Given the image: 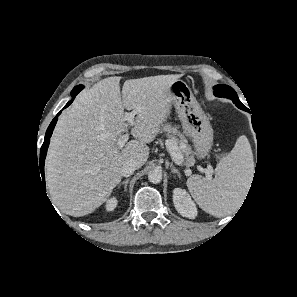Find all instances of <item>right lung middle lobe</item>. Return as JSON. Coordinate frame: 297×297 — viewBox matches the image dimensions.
<instances>
[{"label": "right lung middle lobe", "mask_w": 297, "mask_h": 297, "mask_svg": "<svg viewBox=\"0 0 297 297\" xmlns=\"http://www.w3.org/2000/svg\"><path fill=\"white\" fill-rule=\"evenodd\" d=\"M82 89H83V86L82 85H79V86L74 87V89L71 92L72 96L77 95Z\"/></svg>", "instance_id": "right-lung-middle-lobe-1"}]
</instances>
